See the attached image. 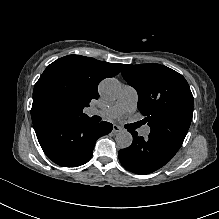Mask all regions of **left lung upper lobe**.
I'll return each instance as SVG.
<instances>
[{"label":"left lung upper lobe","instance_id":"5c2ea615","mask_svg":"<svg viewBox=\"0 0 219 219\" xmlns=\"http://www.w3.org/2000/svg\"><path fill=\"white\" fill-rule=\"evenodd\" d=\"M121 74L138 93V109L150 134L179 149L193 116V95L185 78L160 64H126Z\"/></svg>","mask_w":219,"mask_h":219}]
</instances>
